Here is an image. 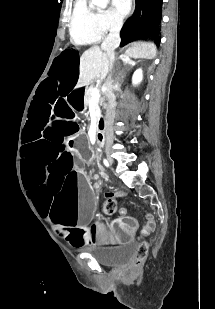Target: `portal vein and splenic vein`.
<instances>
[{
	"label": "portal vein and splenic vein",
	"instance_id": "obj_1",
	"mask_svg": "<svg viewBox=\"0 0 215 309\" xmlns=\"http://www.w3.org/2000/svg\"><path fill=\"white\" fill-rule=\"evenodd\" d=\"M91 96H100V90H98V88H93Z\"/></svg>",
	"mask_w": 215,
	"mask_h": 309
}]
</instances>
